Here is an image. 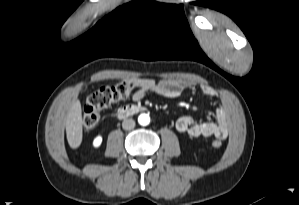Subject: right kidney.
Segmentation results:
<instances>
[{"label":"right kidney","mask_w":299,"mask_h":205,"mask_svg":"<svg viewBox=\"0 0 299 205\" xmlns=\"http://www.w3.org/2000/svg\"><path fill=\"white\" fill-rule=\"evenodd\" d=\"M102 143V136L101 135H98L97 137L94 138L93 140V146L95 148H98Z\"/></svg>","instance_id":"1"}]
</instances>
